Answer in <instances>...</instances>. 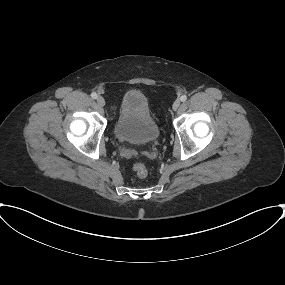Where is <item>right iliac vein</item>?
Returning <instances> with one entry per match:
<instances>
[{"label":"right iliac vein","mask_w":285,"mask_h":285,"mask_svg":"<svg viewBox=\"0 0 285 285\" xmlns=\"http://www.w3.org/2000/svg\"><path fill=\"white\" fill-rule=\"evenodd\" d=\"M97 104L100 106V107H103L105 105V100L103 97L99 96L97 97Z\"/></svg>","instance_id":"63e3f726"}]
</instances>
